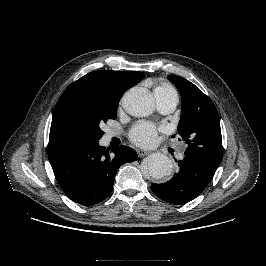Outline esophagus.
<instances>
[{
  "instance_id": "1",
  "label": "esophagus",
  "mask_w": 266,
  "mask_h": 266,
  "mask_svg": "<svg viewBox=\"0 0 266 266\" xmlns=\"http://www.w3.org/2000/svg\"><path fill=\"white\" fill-rule=\"evenodd\" d=\"M137 154L139 157H143V156H146L147 154H149V151H146L143 149H137Z\"/></svg>"
}]
</instances>
